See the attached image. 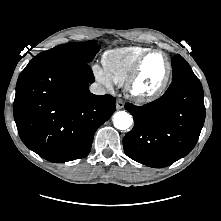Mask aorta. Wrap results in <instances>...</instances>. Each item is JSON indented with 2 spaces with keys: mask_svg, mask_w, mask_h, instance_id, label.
Here are the masks:
<instances>
[{
  "mask_svg": "<svg viewBox=\"0 0 221 221\" xmlns=\"http://www.w3.org/2000/svg\"><path fill=\"white\" fill-rule=\"evenodd\" d=\"M132 123H133L132 116L125 111L116 112L113 116V124L115 128L119 130L128 129L132 125Z\"/></svg>",
  "mask_w": 221,
  "mask_h": 221,
  "instance_id": "762f6f07",
  "label": "aorta"
}]
</instances>
